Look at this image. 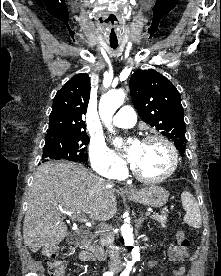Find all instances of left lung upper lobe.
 <instances>
[{"label": "left lung upper lobe", "instance_id": "1", "mask_svg": "<svg viewBox=\"0 0 221 276\" xmlns=\"http://www.w3.org/2000/svg\"><path fill=\"white\" fill-rule=\"evenodd\" d=\"M132 102L141 119L185 151L184 109L176 87L155 70H138L130 78Z\"/></svg>", "mask_w": 221, "mask_h": 276}]
</instances>
